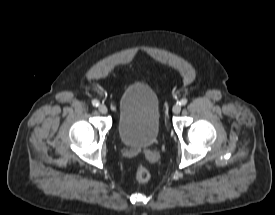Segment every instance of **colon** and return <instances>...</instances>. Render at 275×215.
Wrapping results in <instances>:
<instances>
[{
  "instance_id": "obj_1",
  "label": "colon",
  "mask_w": 275,
  "mask_h": 215,
  "mask_svg": "<svg viewBox=\"0 0 275 215\" xmlns=\"http://www.w3.org/2000/svg\"><path fill=\"white\" fill-rule=\"evenodd\" d=\"M136 179L140 182H146L150 179V171L147 167L143 165H138L135 169Z\"/></svg>"
}]
</instances>
